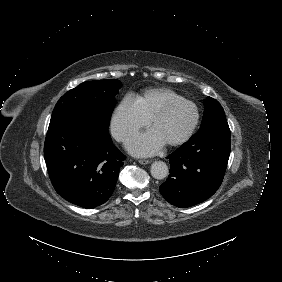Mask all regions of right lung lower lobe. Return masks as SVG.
Instances as JSON below:
<instances>
[{"label": "right lung lower lobe", "mask_w": 282, "mask_h": 282, "mask_svg": "<svg viewBox=\"0 0 282 282\" xmlns=\"http://www.w3.org/2000/svg\"><path fill=\"white\" fill-rule=\"evenodd\" d=\"M44 158L57 193L92 209L111 197L126 157L114 146L108 127L73 111L50 121Z\"/></svg>", "instance_id": "1"}]
</instances>
